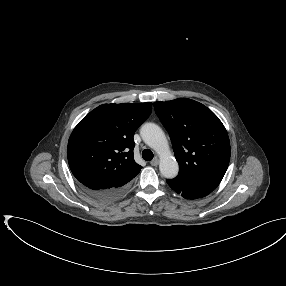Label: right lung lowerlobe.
Listing matches in <instances>:
<instances>
[{
    "label": "right lung lower lobe",
    "mask_w": 286,
    "mask_h": 286,
    "mask_svg": "<svg viewBox=\"0 0 286 286\" xmlns=\"http://www.w3.org/2000/svg\"><path fill=\"white\" fill-rule=\"evenodd\" d=\"M82 191L92 199L99 202H110L119 198L127 190L128 185L123 187H108L105 189H95L79 183Z\"/></svg>",
    "instance_id": "98d812e1"
}]
</instances>
